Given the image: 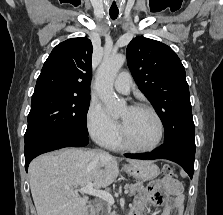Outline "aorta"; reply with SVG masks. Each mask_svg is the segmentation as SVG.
Returning a JSON list of instances; mask_svg holds the SVG:
<instances>
[{
	"instance_id": "aorta-1",
	"label": "aorta",
	"mask_w": 223,
	"mask_h": 215,
	"mask_svg": "<svg viewBox=\"0 0 223 215\" xmlns=\"http://www.w3.org/2000/svg\"><path fill=\"white\" fill-rule=\"evenodd\" d=\"M124 62H126V56L123 54L107 56L103 58L96 74L95 92L104 102L107 113L113 117L121 115L126 106L124 100H116L113 90L114 80Z\"/></svg>"
}]
</instances>
